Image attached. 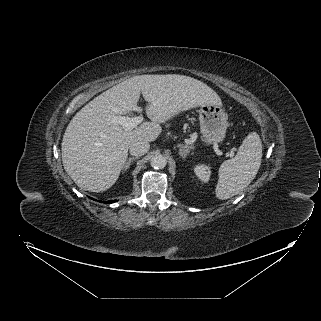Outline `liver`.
I'll return each mask as SVG.
<instances>
[{
  "label": "liver",
  "instance_id": "liver-1",
  "mask_svg": "<svg viewBox=\"0 0 321 321\" xmlns=\"http://www.w3.org/2000/svg\"><path fill=\"white\" fill-rule=\"evenodd\" d=\"M142 93L146 115L143 122L126 131L113 124V116L139 111ZM221 105L217 93L205 83L178 74L141 75L125 80L86 104L72 118L62 140L65 171L81 189L102 192L117 181L136 141L151 142L161 133V123L178 113L203 105Z\"/></svg>",
  "mask_w": 321,
  "mask_h": 321
}]
</instances>
